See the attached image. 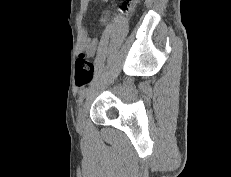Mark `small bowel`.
<instances>
[{"label":"small bowel","instance_id":"c3829d8e","mask_svg":"<svg viewBox=\"0 0 231 177\" xmlns=\"http://www.w3.org/2000/svg\"><path fill=\"white\" fill-rule=\"evenodd\" d=\"M91 0H88L90 2ZM102 22L104 19L101 20ZM98 42L96 39H91L88 34H84V44L82 46L83 51L88 57H92L96 53Z\"/></svg>","mask_w":231,"mask_h":177}]
</instances>
